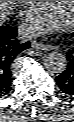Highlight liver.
<instances>
[{
  "mask_svg": "<svg viewBox=\"0 0 74 122\" xmlns=\"http://www.w3.org/2000/svg\"><path fill=\"white\" fill-rule=\"evenodd\" d=\"M11 4H12V1H0V22H1V24L7 18Z\"/></svg>",
  "mask_w": 74,
  "mask_h": 122,
  "instance_id": "obj_1",
  "label": "liver"
}]
</instances>
